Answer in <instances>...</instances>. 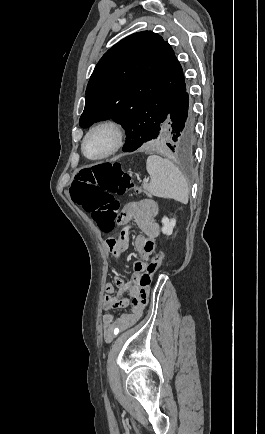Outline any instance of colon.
<instances>
[{
	"label": "colon",
	"instance_id": "obj_1",
	"mask_svg": "<svg viewBox=\"0 0 265 434\" xmlns=\"http://www.w3.org/2000/svg\"><path fill=\"white\" fill-rule=\"evenodd\" d=\"M106 159L105 164H85L76 168L68 194L69 202H79L89 212L98 229L103 233H112L121 205L114 195H126L135 188L132 176L118 164ZM165 259V253L158 252L147 263V269L138 274L136 286H149L151 270L159 269Z\"/></svg>",
	"mask_w": 265,
	"mask_h": 434
}]
</instances>
